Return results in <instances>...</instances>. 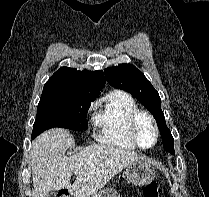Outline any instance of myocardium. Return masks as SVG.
<instances>
[{
	"instance_id": "f54148a6",
	"label": "myocardium",
	"mask_w": 209,
	"mask_h": 197,
	"mask_svg": "<svg viewBox=\"0 0 209 197\" xmlns=\"http://www.w3.org/2000/svg\"><path fill=\"white\" fill-rule=\"evenodd\" d=\"M141 118H146L149 120V122L152 124L154 132H155V139L152 145L150 146H143L138 138V134H137V127H138V123L139 120ZM129 134L130 137L132 139V141L134 142V144L141 149H151L153 148L159 139V129H158V125L157 122L155 120V118L153 117V115H151L149 112L147 111H142V110H138L136 111L130 118V123H129Z\"/></svg>"
}]
</instances>
